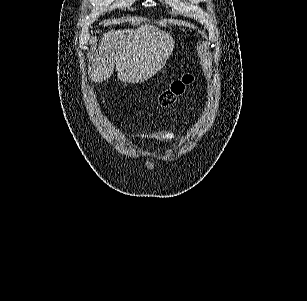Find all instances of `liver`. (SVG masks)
<instances>
[{"label": "liver", "instance_id": "obj_1", "mask_svg": "<svg viewBox=\"0 0 307 301\" xmlns=\"http://www.w3.org/2000/svg\"><path fill=\"white\" fill-rule=\"evenodd\" d=\"M175 40L154 24L138 28L108 30L102 34L97 50L90 52L89 76L102 82L113 74L114 66L122 82H143L163 68Z\"/></svg>", "mask_w": 307, "mask_h": 301}]
</instances>
